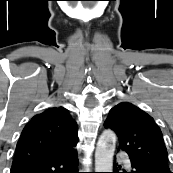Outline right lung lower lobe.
<instances>
[{
  "instance_id": "98d812e1",
  "label": "right lung lower lobe",
  "mask_w": 173,
  "mask_h": 173,
  "mask_svg": "<svg viewBox=\"0 0 173 173\" xmlns=\"http://www.w3.org/2000/svg\"><path fill=\"white\" fill-rule=\"evenodd\" d=\"M11 173H79L77 152L12 164Z\"/></svg>"
}]
</instances>
